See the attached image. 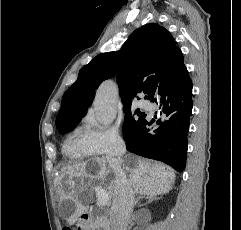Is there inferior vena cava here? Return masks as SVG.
<instances>
[{
	"instance_id": "obj_1",
	"label": "inferior vena cava",
	"mask_w": 241,
	"mask_h": 230,
	"mask_svg": "<svg viewBox=\"0 0 241 230\" xmlns=\"http://www.w3.org/2000/svg\"><path fill=\"white\" fill-rule=\"evenodd\" d=\"M123 153L124 149H120L117 156ZM106 159L115 174V198L109 213L111 230H127L135 203L134 191L121 162L114 156H107Z\"/></svg>"
}]
</instances>
